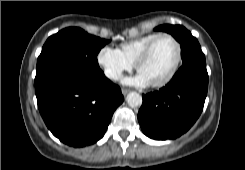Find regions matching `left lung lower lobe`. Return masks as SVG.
<instances>
[{
	"mask_svg": "<svg viewBox=\"0 0 245 170\" xmlns=\"http://www.w3.org/2000/svg\"><path fill=\"white\" fill-rule=\"evenodd\" d=\"M207 89L206 65L183 64L165 87L143 95L138 120L144 134L166 140L187 132L203 110Z\"/></svg>",
	"mask_w": 245,
	"mask_h": 170,
	"instance_id": "0a47b994",
	"label": "left lung lower lobe"
}]
</instances>
